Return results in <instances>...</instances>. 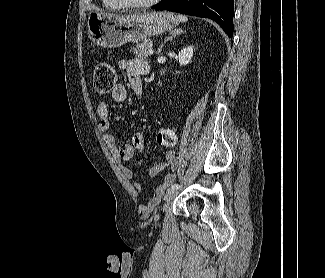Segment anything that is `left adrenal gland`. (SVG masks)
<instances>
[{"instance_id": "1", "label": "left adrenal gland", "mask_w": 325, "mask_h": 278, "mask_svg": "<svg viewBox=\"0 0 325 278\" xmlns=\"http://www.w3.org/2000/svg\"><path fill=\"white\" fill-rule=\"evenodd\" d=\"M182 33H185V31L182 30V29H174V30H172V31L169 33V36L166 37V38L164 39V42L160 45V47H159V49H158V51H157V54H158V55L161 54V51H162V49H163V47H164V45H165L166 42H168L169 40L173 39L174 37H176L177 35H180V34H182Z\"/></svg>"}]
</instances>
